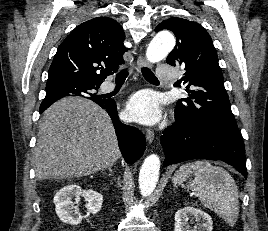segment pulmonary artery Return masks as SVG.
Here are the masks:
<instances>
[{"instance_id":"pulmonary-artery-1","label":"pulmonary artery","mask_w":268,"mask_h":231,"mask_svg":"<svg viewBox=\"0 0 268 231\" xmlns=\"http://www.w3.org/2000/svg\"><path fill=\"white\" fill-rule=\"evenodd\" d=\"M155 77L163 82H170L174 78V71L172 66L161 64L158 66ZM113 88L112 84H107L103 87V91L108 92Z\"/></svg>"}]
</instances>
